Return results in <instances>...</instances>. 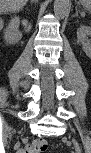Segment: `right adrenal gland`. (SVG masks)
Masks as SVG:
<instances>
[{
	"label": "right adrenal gland",
	"instance_id": "right-adrenal-gland-1",
	"mask_svg": "<svg viewBox=\"0 0 91 153\" xmlns=\"http://www.w3.org/2000/svg\"><path fill=\"white\" fill-rule=\"evenodd\" d=\"M30 2H31V3H33V2H35V3H36V2H38V0H31Z\"/></svg>",
	"mask_w": 91,
	"mask_h": 153
}]
</instances>
